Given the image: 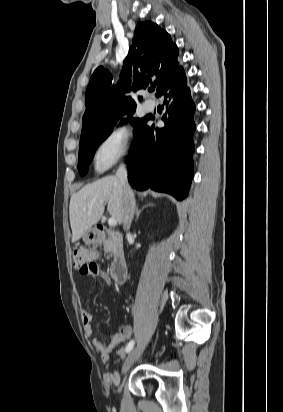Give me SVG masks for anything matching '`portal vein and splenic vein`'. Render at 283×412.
<instances>
[{"mask_svg": "<svg viewBox=\"0 0 283 412\" xmlns=\"http://www.w3.org/2000/svg\"><path fill=\"white\" fill-rule=\"evenodd\" d=\"M108 225L113 226V227L116 226L117 225V220L115 218H112V217L109 218L108 219Z\"/></svg>", "mask_w": 283, "mask_h": 412, "instance_id": "portal-vein-and-splenic-vein-1", "label": "portal vein and splenic vein"}]
</instances>
